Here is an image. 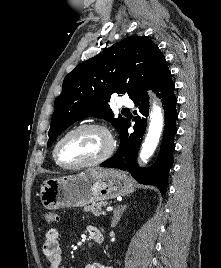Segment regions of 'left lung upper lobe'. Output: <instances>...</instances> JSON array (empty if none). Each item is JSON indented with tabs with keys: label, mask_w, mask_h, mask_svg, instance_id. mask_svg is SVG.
I'll return each mask as SVG.
<instances>
[{
	"label": "left lung upper lobe",
	"mask_w": 221,
	"mask_h": 268,
	"mask_svg": "<svg viewBox=\"0 0 221 268\" xmlns=\"http://www.w3.org/2000/svg\"><path fill=\"white\" fill-rule=\"evenodd\" d=\"M170 77V70L158 46L143 36L126 38L100 55L79 64L64 79L55 101L49 130V147L74 122L103 118L120 133L128 120L113 118L108 102L111 95L128 94L133 101L153 91Z\"/></svg>",
	"instance_id": "obj_1"
}]
</instances>
